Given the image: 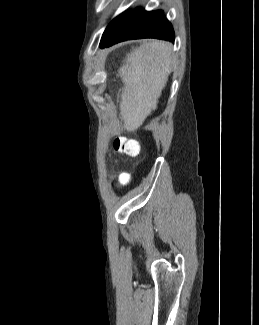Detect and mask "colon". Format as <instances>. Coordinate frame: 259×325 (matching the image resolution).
<instances>
[{
	"mask_svg": "<svg viewBox=\"0 0 259 325\" xmlns=\"http://www.w3.org/2000/svg\"><path fill=\"white\" fill-rule=\"evenodd\" d=\"M114 149L118 152L125 153L130 156L138 155L140 151V146L134 141H129L124 138H117L113 143ZM131 176L128 173H122L117 178L116 186H126L130 183Z\"/></svg>",
	"mask_w": 259,
	"mask_h": 325,
	"instance_id": "5ec220e1",
	"label": "colon"
}]
</instances>
